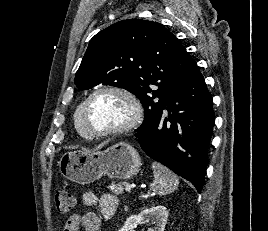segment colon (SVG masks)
Segmentation results:
<instances>
[{
  "mask_svg": "<svg viewBox=\"0 0 268 231\" xmlns=\"http://www.w3.org/2000/svg\"><path fill=\"white\" fill-rule=\"evenodd\" d=\"M56 209L61 214H67L76 205V197L68 191H58L55 195Z\"/></svg>",
  "mask_w": 268,
  "mask_h": 231,
  "instance_id": "5ec220e1",
  "label": "colon"
}]
</instances>
